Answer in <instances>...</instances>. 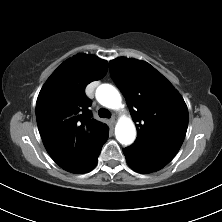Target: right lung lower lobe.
I'll list each match as a JSON object with an SVG mask.
<instances>
[{"label":"right lung lower lobe","mask_w":222,"mask_h":222,"mask_svg":"<svg viewBox=\"0 0 222 222\" xmlns=\"http://www.w3.org/2000/svg\"><path fill=\"white\" fill-rule=\"evenodd\" d=\"M101 149H102V147L98 149L96 156H95L94 159L84 168V170L81 171V172H78V173L89 172V171H91V170L96 166V164H97V162H98V156H99V154H100V152H101Z\"/></svg>","instance_id":"right-lung-lower-lobe-1"}]
</instances>
